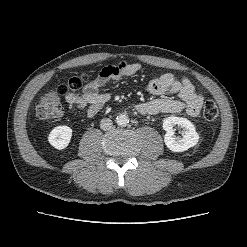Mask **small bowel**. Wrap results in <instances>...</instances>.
I'll use <instances>...</instances> for the list:
<instances>
[{
  "instance_id": "c3829d8e",
  "label": "small bowel",
  "mask_w": 247,
  "mask_h": 247,
  "mask_svg": "<svg viewBox=\"0 0 247 247\" xmlns=\"http://www.w3.org/2000/svg\"><path fill=\"white\" fill-rule=\"evenodd\" d=\"M141 70L142 66L138 63L122 62L118 65L106 66L82 91L67 92L65 100L70 109L87 108V115L94 117L110 99L108 93L100 92L101 87L107 82H117ZM146 90L152 95L172 94L177 95L178 98L159 97L140 102L135 105V109L142 115L179 113L183 110L190 116H197L200 113L203 97L196 92L187 78H179L172 73H166L151 80Z\"/></svg>"
}]
</instances>
